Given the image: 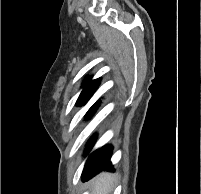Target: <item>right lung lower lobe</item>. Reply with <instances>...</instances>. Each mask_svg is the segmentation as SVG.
<instances>
[{"label":"right lung lower lobe","mask_w":201,"mask_h":194,"mask_svg":"<svg viewBox=\"0 0 201 194\" xmlns=\"http://www.w3.org/2000/svg\"><path fill=\"white\" fill-rule=\"evenodd\" d=\"M93 112V108L89 111L88 115H90ZM94 139L90 141L88 144V147L86 149V152H88L91 147L93 146ZM112 154V147L110 145H106L99 150L93 152L85 165L83 174H82V180L86 181L93 177L95 174L100 172L101 170L104 169H109L111 168V163H110V157Z\"/></svg>","instance_id":"1"}]
</instances>
